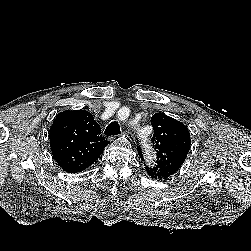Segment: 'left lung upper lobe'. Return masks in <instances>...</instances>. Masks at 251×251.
Wrapping results in <instances>:
<instances>
[{
	"instance_id": "5c2ea615",
	"label": "left lung upper lobe",
	"mask_w": 251,
	"mask_h": 251,
	"mask_svg": "<svg viewBox=\"0 0 251 251\" xmlns=\"http://www.w3.org/2000/svg\"><path fill=\"white\" fill-rule=\"evenodd\" d=\"M151 124L154 128L151 141L157 151V161L153 167L146 166V170L156 180L167 179L184 163L190 150V133L183 123L161 112L151 117ZM137 150L144 160L139 146Z\"/></svg>"
}]
</instances>
